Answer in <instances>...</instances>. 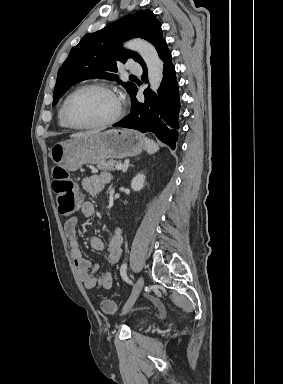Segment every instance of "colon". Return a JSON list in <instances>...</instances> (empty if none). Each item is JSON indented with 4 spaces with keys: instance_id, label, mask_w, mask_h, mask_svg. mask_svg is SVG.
I'll list each match as a JSON object with an SVG mask.
<instances>
[{
    "instance_id": "colon-1",
    "label": "colon",
    "mask_w": 283,
    "mask_h": 384,
    "mask_svg": "<svg viewBox=\"0 0 283 384\" xmlns=\"http://www.w3.org/2000/svg\"><path fill=\"white\" fill-rule=\"evenodd\" d=\"M53 190L57 196L58 211L63 216L72 215L79 206V197L75 185L68 173L60 167L53 171ZM101 308L104 313L115 312V303L111 300H103Z\"/></svg>"
}]
</instances>
